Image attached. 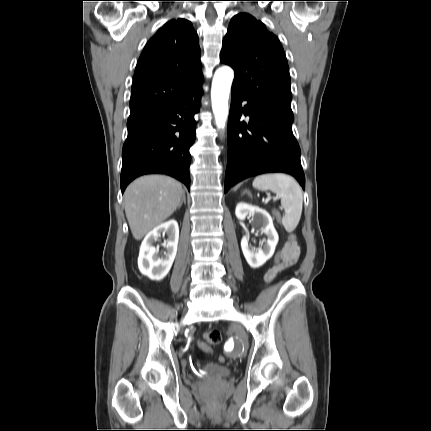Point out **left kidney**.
I'll use <instances>...</instances> for the list:
<instances>
[{
	"label": "left kidney",
	"mask_w": 431,
	"mask_h": 431,
	"mask_svg": "<svg viewBox=\"0 0 431 431\" xmlns=\"http://www.w3.org/2000/svg\"><path fill=\"white\" fill-rule=\"evenodd\" d=\"M235 214L242 221L247 216H251L255 225L260 227L261 232L267 236V240L262 241L261 248L258 251L250 249L248 235L243 236L241 240V249L247 263L252 268H259L273 256L279 240L273 220L266 210L246 203H239L236 206Z\"/></svg>",
	"instance_id": "1"
}]
</instances>
